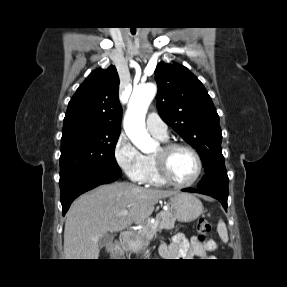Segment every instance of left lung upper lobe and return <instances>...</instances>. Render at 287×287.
<instances>
[{"label": "left lung upper lobe", "mask_w": 287, "mask_h": 287, "mask_svg": "<svg viewBox=\"0 0 287 287\" xmlns=\"http://www.w3.org/2000/svg\"><path fill=\"white\" fill-rule=\"evenodd\" d=\"M160 117L201 157L205 175L198 188L228 194V175L221 151L219 116L203 84L183 65L160 62L155 69Z\"/></svg>", "instance_id": "1"}]
</instances>
